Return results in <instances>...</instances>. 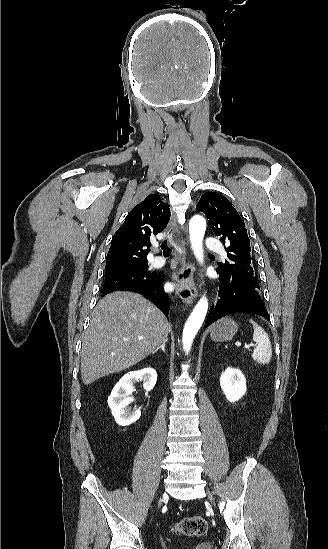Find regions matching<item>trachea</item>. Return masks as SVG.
<instances>
[{
    "label": "trachea",
    "instance_id": "obj_1",
    "mask_svg": "<svg viewBox=\"0 0 328 549\" xmlns=\"http://www.w3.org/2000/svg\"><path fill=\"white\" fill-rule=\"evenodd\" d=\"M161 249L163 250V255H165V256L170 255L171 252H172V249H170V248L168 247L167 240H165V241L161 244Z\"/></svg>",
    "mask_w": 328,
    "mask_h": 549
}]
</instances>
